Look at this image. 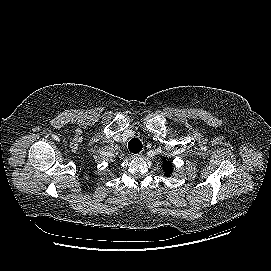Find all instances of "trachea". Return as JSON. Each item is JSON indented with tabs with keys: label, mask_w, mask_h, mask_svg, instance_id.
Segmentation results:
<instances>
[{
	"label": "trachea",
	"mask_w": 271,
	"mask_h": 271,
	"mask_svg": "<svg viewBox=\"0 0 271 271\" xmlns=\"http://www.w3.org/2000/svg\"><path fill=\"white\" fill-rule=\"evenodd\" d=\"M128 149L132 153H138L142 150V143L139 139L133 138L128 142Z\"/></svg>",
	"instance_id": "trachea-1"
}]
</instances>
